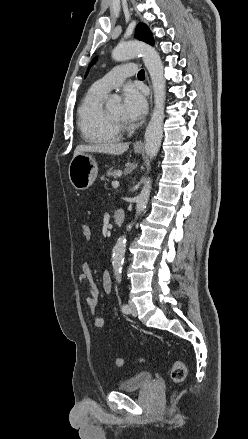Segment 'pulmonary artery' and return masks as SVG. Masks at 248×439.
I'll return each instance as SVG.
<instances>
[{
  "instance_id": "1",
  "label": "pulmonary artery",
  "mask_w": 248,
  "mask_h": 439,
  "mask_svg": "<svg viewBox=\"0 0 248 439\" xmlns=\"http://www.w3.org/2000/svg\"><path fill=\"white\" fill-rule=\"evenodd\" d=\"M136 73L137 68L133 63L118 66L97 80L91 86V89L94 92L106 95L111 89L119 86L125 78L133 76Z\"/></svg>"
}]
</instances>
